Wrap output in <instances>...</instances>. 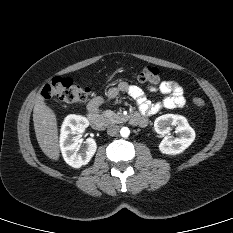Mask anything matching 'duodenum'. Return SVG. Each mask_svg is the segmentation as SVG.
Here are the masks:
<instances>
[{
  "label": "duodenum",
  "instance_id": "410a0bca",
  "mask_svg": "<svg viewBox=\"0 0 233 233\" xmlns=\"http://www.w3.org/2000/svg\"><path fill=\"white\" fill-rule=\"evenodd\" d=\"M86 117L91 126L97 130H103L107 126V119L95 111H89ZM131 121L140 126H144L147 123L146 118L140 115H134Z\"/></svg>",
  "mask_w": 233,
  "mask_h": 233
}]
</instances>
